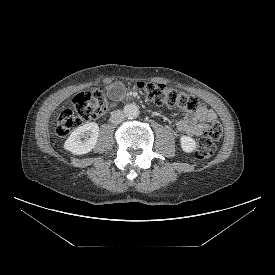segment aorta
Returning <instances> with one entry per match:
<instances>
[{"mask_svg": "<svg viewBox=\"0 0 275 275\" xmlns=\"http://www.w3.org/2000/svg\"><path fill=\"white\" fill-rule=\"evenodd\" d=\"M123 113L128 119H136L140 111L136 104H127L124 106Z\"/></svg>", "mask_w": 275, "mask_h": 275, "instance_id": "obj_1", "label": "aorta"}]
</instances>
